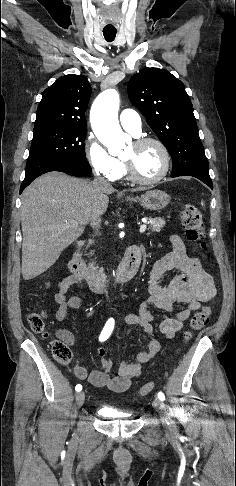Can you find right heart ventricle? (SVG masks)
Masks as SVG:
<instances>
[{"mask_svg": "<svg viewBox=\"0 0 236 486\" xmlns=\"http://www.w3.org/2000/svg\"><path fill=\"white\" fill-rule=\"evenodd\" d=\"M124 173H125V168H124V170H123V173H122V175H123Z\"/></svg>", "mask_w": 236, "mask_h": 486, "instance_id": "1", "label": "right heart ventricle"}]
</instances>
